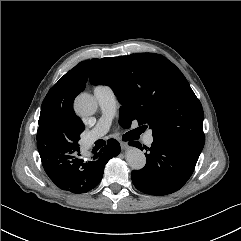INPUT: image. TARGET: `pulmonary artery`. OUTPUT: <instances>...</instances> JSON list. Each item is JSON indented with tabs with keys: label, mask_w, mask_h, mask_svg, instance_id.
Listing matches in <instances>:
<instances>
[{
	"label": "pulmonary artery",
	"mask_w": 241,
	"mask_h": 241,
	"mask_svg": "<svg viewBox=\"0 0 241 241\" xmlns=\"http://www.w3.org/2000/svg\"><path fill=\"white\" fill-rule=\"evenodd\" d=\"M94 96L99 104L102 116L97 125L85 137L84 144L87 148L107 133L116 107L115 93L111 87L105 85L96 86ZM144 141L147 145L153 143L152 131L146 133Z\"/></svg>",
	"instance_id": "1"
}]
</instances>
